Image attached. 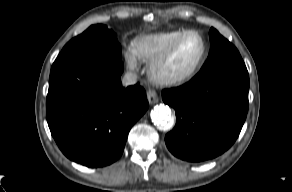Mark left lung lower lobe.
Returning a JSON list of instances; mask_svg holds the SVG:
<instances>
[{"instance_id": "1", "label": "left lung lower lobe", "mask_w": 292, "mask_h": 192, "mask_svg": "<svg viewBox=\"0 0 292 192\" xmlns=\"http://www.w3.org/2000/svg\"><path fill=\"white\" fill-rule=\"evenodd\" d=\"M248 90L245 64L200 71L186 84L163 90V101L176 112V125L165 136L169 151L201 162L229 149L247 116Z\"/></svg>"}]
</instances>
